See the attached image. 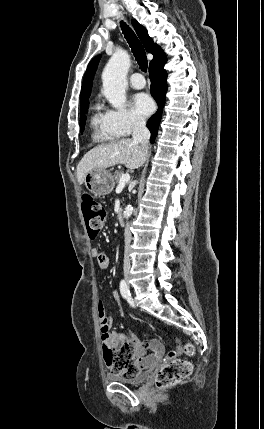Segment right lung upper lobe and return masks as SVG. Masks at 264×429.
Instances as JSON below:
<instances>
[{
	"mask_svg": "<svg viewBox=\"0 0 264 429\" xmlns=\"http://www.w3.org/2000/svg\"><path fill=\"white\" fill-rule=\"evenodd\" d=\"M132 25L140 38L141 42L143 43L145 49L147 52L153 54L154 58L151 60L150 64L154 62L160 55H162L164 52L161 50V48L153 43L152 38L149 37L147 30L145 27L140 25L136 20H132ZM101 58V55L96 56L88 65L87 70L85 72V76L83 79V85L81 88V104L80 106H84L86 104H89V96L91 93L92 88V81L93 77L95 75L99 60Z\"/></svg>",
	"mask_w": 264,
	"mask_h": 429,
	"instance_id": "cb5924a9",
	"label": "right lung upper lobe"
}]
</instances>
